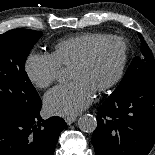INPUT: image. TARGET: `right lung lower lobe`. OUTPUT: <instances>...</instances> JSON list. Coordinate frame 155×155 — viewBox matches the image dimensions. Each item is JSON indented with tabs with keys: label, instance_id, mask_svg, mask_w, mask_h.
Wrapping results in <instances>:
<instances>
[{
	"label": "right lung lower lobe",
	"instance_id": "right-lung-lower-lobe-1",
	"mask_svg": "<svg viewBox=\"0 0 155 155\" xmlns=\"http://www.w3.org/2000/svg\"><path fill=\"white\" fill-rule=\"evenodd\" d=\"M41 106L28 116L0 117V155H53L67 124L60 117L42 120Z\"/></svg>",
	"mask_w": 155,
	"mask_h": 155
}]
</instances>
